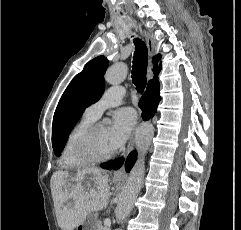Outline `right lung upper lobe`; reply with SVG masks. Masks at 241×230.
<instances>
[{
	"label": "right lung upper lobe",
	"mask_w": 241,
	"mask_h": 230,
	"mask_svg": "<svg viewBox=\"0 0 241 230\" xmlns=\"http://www.w3.org/2000/svg\"><path fill=\"white\" fill-rule=\"evenodd\" d=\"M160 58H161L160 55H157V56L154 58V60H155V65H154L153 71H154V74H155V75H154V78L148 82V84L151 83V82H154V81L158 80V74H159V72H160V70H161V66L158 67L157 62L160 60Z\"/></svg>",
	"instance_id": "right-lung-upper-lobe-1"
}]
</instances>
